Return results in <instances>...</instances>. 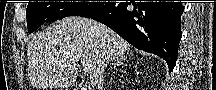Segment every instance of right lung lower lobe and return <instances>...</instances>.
<instances>
[{
  "instance_id": "right-lung-lower-lobe-1",
  "label": "right lung lower lobe",
  "mask_w": 216,
  "mask_h": 90,
  "mask_svg": "<svg viewBox=\"0 0 216 90\" xmlns=\"http://www.w3.org/2000/svg\"><path fill=\"white\" fill-rule=\"evenodd\" d=\"M181 2H107L81 17L97 20L134 47L163 58L171 72L182 36Z\"/></svg>"
}]
</instances>
